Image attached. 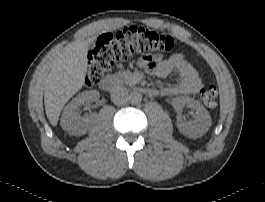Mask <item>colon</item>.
<instances>
[{"label":"colon","instance_id":"5ec220e1","mask_svg":"<svg viewBox=\"0 0 265 202\" xmlns=\"http://www.w3.org/2000/svg\"><path fill=\"white\" fill-rule=\"evenodd\" d=\"M178 43L170 36L152 29L131 26L115 33L102 34L88 54V86H96L116 63L134 59L147 69L156 66L155 57L162 52H175ZM218 91L214 85L203 87L199 98L209 108L217 104Z\"/></svg>","mask_w":265,"mask_h":202}]
</instances>
